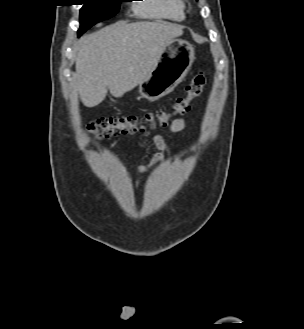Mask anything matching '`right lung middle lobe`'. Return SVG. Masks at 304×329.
Masks as SVG:
<instances>
[{"mask_svg": "<svg viewBox=\"0 0 304 329\" xmlns=\"http://www.w3.org/2000/svg\"><path fill=\"white\" fill-rule=\"evenodd\" d=\"M84 4L80 9V28L78 37L94 24L114 16L120 2L126 0H81Z\"/></svg>", "mask_w": 304, "mask_h": 329, "instance_id": "dd1d6c3e", "label": "right lung middle lobe"}]
</instances>
